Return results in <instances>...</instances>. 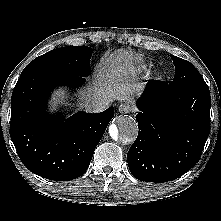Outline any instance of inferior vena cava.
Wrapping results in <instances>:
<instances>
[{"label": "inferior vena cava", "mask_w": 221, "mask_h": 221, "mask_svg": "<svg viewBox=\"0 0 221 221\" xmlns=\"http://www.w3.org/2000/svg\"><path fill=\"white\" fill-rule=\"evenodd\" d=\"M109 105H110V101L108 99H99L90 103L88 106V109H89V112L98 113L107 109Z\"/></svg>", "instance_id": "obj_1"}]
</instances>
